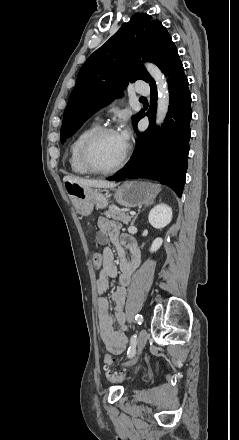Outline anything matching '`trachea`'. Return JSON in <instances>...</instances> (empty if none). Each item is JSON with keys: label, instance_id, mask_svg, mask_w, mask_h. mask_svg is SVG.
I'll return each mask as SVG.
<instances>
[{"label": "trachea", "instance_id": "3493384b", "mask_svg": "<svg viewBox=\"0 0 239 440\" xmlns=\"http://www.w3.org/2000/svg\"><path fill=\"white\" fill-rule=\"evenodd\" d=\"M141 99H143V101H146L145 97H141Z\"/></svg>", "mask_w": 239, "mask_h": 440}]
</instances>
